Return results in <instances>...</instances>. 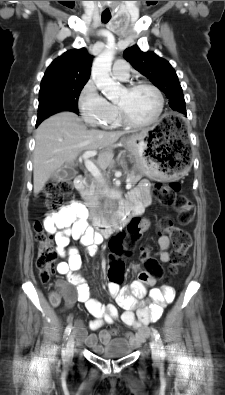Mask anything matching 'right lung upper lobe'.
I'll use <instances>...</instances> for the list:
<instances>
[{"mask_svg":"<svg viewBox=\"0 0 225 395\" xmlns=\"http://www.w3.org/2000/svg\"><path fill=\"white\" fill-rule=\"evenodd\" d=\"M92 60L93 56L87 53L86 48L69 50L50 64L41 85L86 83Z\"/></svg>","mask_w":225,"mask_h":395,"instance_id":"1","label":"right lung upper lobe"}]
</instances>
